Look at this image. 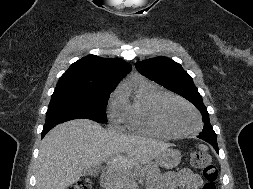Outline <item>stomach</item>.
Masks as SVG:
<instances>
[{"instance_id": "1", "label": "stomach", "mask_w": 253, "mask_h": 189, "mask_svg": "<svg viewBox=\"0 0 253 189\" xmlns=\"http://www.w3.org/2000/svg\"><path fill=\"white\" fill-rule=\"evenodd\" d=\"M181 160V153L177 149L167 148L164 152L156 157V164L166 169L176 167Z\"/></svg>"}]
</instances>
